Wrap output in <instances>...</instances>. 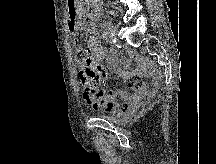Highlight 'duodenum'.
<instances>
[{"label": "duodenum", "mask_w": 216, "mask_h": 164, "mask_svg": "<svg viewBox=\"0 0 216 164\" xmlns=\"http://www.w3.org/2000/svg\"><path fill=\"white\" fill-rule=\"evenodd\" d=\"M68 4H69V9H76V0H68ZM90 11H91L93 18H96L97 11H98L97 4L92 2L90 4Z\"/></svg>", "instance_id": "duodenum-1"}]
</instances>
